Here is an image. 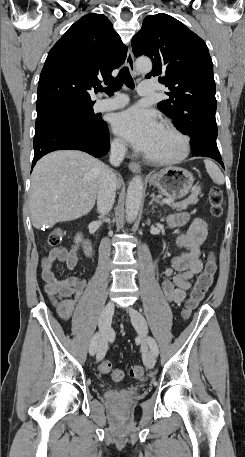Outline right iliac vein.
I'll return each mask as SVG.
<instances>
[{"mask_svg":"<svg viewBox=\"0 0 245 457\" xmlns=\"http://www.w3.org/2000/svg\"><path fill=\"white\" fill-rule=\"evenodd\" d=\"M114 313V303L113 302H108L100 316L99 320V329L101 331L98 347H97V355L96 359L98 361L102 360L104 358V355L107 351V345H108V336H109V327L110 323L112 320V316Z\"/></svg>","mask_w":245,"mask_h":457,"instance_id":"1","label":"right iliac vein"}]
</instances>
